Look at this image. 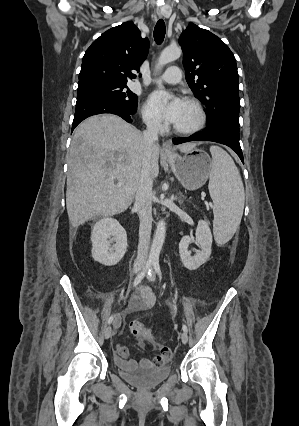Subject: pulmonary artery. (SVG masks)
<instances>
[{
    "label": "pulmonary artery",
    "instance_id": "obj_1",
    "mask_svg": "<svg viewBox=\"0 0 299 426\" xmlns=\"http://www.w3.org/2000/svg\"><path fill=\"white\" fill-rule=\"evenodd\" d=\"M181 78V70L176 66H171L159 77V80L169 84H176L181 81Z\"/></svg>",
    "mask_w": 299,
    "mask_h": 426
}]
</instances>
